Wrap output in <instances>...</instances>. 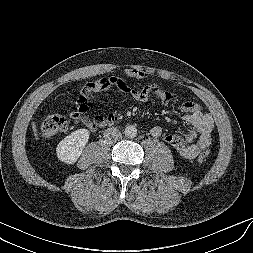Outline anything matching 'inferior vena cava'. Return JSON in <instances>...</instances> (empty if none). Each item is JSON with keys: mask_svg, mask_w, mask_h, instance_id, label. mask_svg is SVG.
<instances>
[{"mask_svg": "<svg viewBox=\"0 0 253 253\" xmlns=\"http://www.w3.org/2000/svg\"><path fill=\"white\" fill-rule=\"evenodd\" d=\"M121 136H122L121 132L117 128H114V127L107 128L104 131V137L105 139H108V140H117Z\"/></svg>", "mask_w": 253, "mask_h": 253, "instance_id": "1", "label": "inferior vena cava"}]
</instances>
